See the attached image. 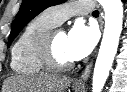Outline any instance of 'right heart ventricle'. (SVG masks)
I'll use <instances>...</instances> for the list:
<instances>
[{"label":"right heart ventricle","instance_id":"right-heart-ventricle-1","mask_svg":"<svg viewBox=\"0 0 127 92\" xmlns=\"http://www.w3.org/2000/svg\"><path fill=\"white\" fill-rule=\"evenodd\" d=\"M55 26L57 24L46 12L33 18L25 26L11 49L10 66L15 73L37 75L49 70L40 61L37 50L43 34Z\"/></svg>","mask_w":127,"mask_h":92}]
</instances>
